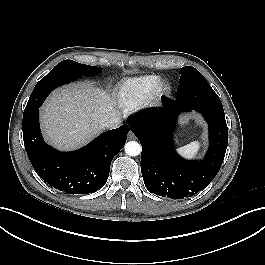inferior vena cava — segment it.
Segmentation results:
<instances>
[{
    "label": "inferior vena cava",
    "instance_id": "1",
    "mask_svg": "<svg viewBox=\"0 0 265 265\" xmlns=\"http://www.w3.org/2000/svg\"><path fill=\"white\" fill-rule=\"evenodd\" d=\"M121 124V118L116 115L111 117L110 119H108L105 123H104V127L108 128V129H115L117 127H119Z\"/></svg>",
    "mask_w": 265,
    "mask_h": 265
}]
</instances>
